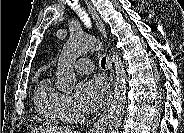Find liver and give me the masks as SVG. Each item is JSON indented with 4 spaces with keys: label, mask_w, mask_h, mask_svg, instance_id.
Instances as JSON below:
<instances>
[{
    "label": "liver",
    "mask_w": 184,
    "mask_h": 133,
    "mask_svg": "<svg viewBox=\"0 0 184 133\" xmlns=\"http://www.w3.org/2000/svg\"><path fill=\"white\" fill-rule=\"evenodd\" d=\"M32 133H72V132L71 130L68 129L49 128V129H35L32 131Z\"/></svg>",
    "instance_id": "6515ba94"
}]
</instances>
